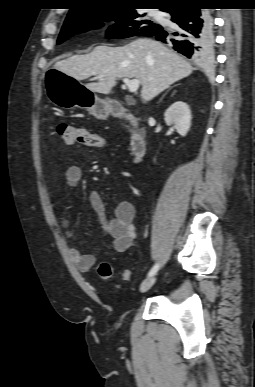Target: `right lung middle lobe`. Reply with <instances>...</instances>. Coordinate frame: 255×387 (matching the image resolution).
<instances>
[{"instance_id": "1", "label": "right lung middle lobe", "mask_w": 255, "mask_h": 387, "mask_svg": "<svg viewBox=\"0 0 255 387\" xmlns=\"http://www.w3.org/2000/svg\"><path fill=\"white\" fill-rule=\"evenodd\" d=\"M140 16L143 15L138 14L134 7L95 10L76 20L65 21L57 43L60 44L77 33L101 27L103 24L100 21H116V24L108 29L107 37L109 38H126L141 35L146 28L158 26V24H154L151 21L140 20Z\"/></svg>"}]
</instances>
